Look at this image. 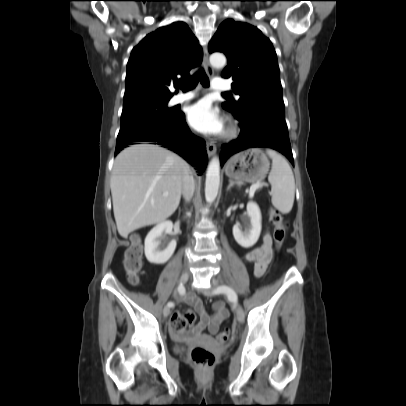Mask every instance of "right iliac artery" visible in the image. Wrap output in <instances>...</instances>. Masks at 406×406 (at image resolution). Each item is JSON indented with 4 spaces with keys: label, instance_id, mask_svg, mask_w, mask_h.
Instances as JSON below:
<instances>
[{
    "label": "right iliac artery",
    "instance_id": "obj_1",
    "mask_svg": "<svg viewBox=\"0 0 406 406\" xmlns=\"http://www.w3.org/2000/svg\"><path fill=\"white\" fill-rule=\"evenodd\" d=\"M178 292L181 295H183L185 293V288H184V286L182 284L178 286ZM167 306L173 307L174 303L173 302H168Z\"/></svg>",
    "mask_w": 406,
    "mask_h": 406
}]
</instances>
